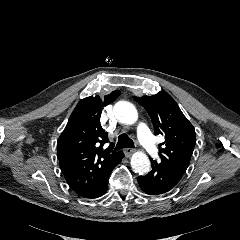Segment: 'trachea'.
I'll use <instances>...</instances> for the list:
<instances>
[{"label": "trachea", "instance_id": "trachea-1", "mask_svg": "<svg viewBox=\"0 0 240 240\" xmlns=\"http://www.w3.org/2000/svg\"><path fill=\"white\" fill-rule=\"evenodd\" d=\"M133 146H134L133 141L130 138H128L126 134H121L118 137V142L114 151L123 149L125 147H133Z\"/></svg>", "mask_w": 240, "mask_h": 240}]
</instances>
